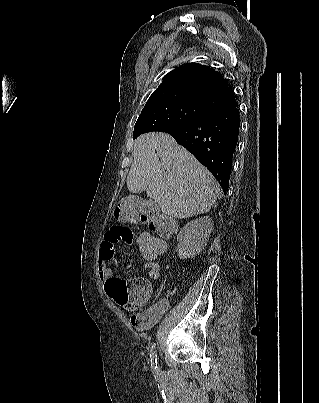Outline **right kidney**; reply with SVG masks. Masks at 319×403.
<instances>
[{"label": "right kidney", "mask_w": 319, "mask_h": 403, "mask_svg": "<svg viewBox=\"0 0 319 403\" xmlns=\"http://www.w3.org/2000/svg\"><path fill=\"white\" fill-rule=\"evenodd\" d=\"M213 230L212 219L208 216L188 222L180 230L177 251L180 259L193 258L206 246Z\"/></svg>", "instance_id": "right-kidney-1"}]
</instances>
